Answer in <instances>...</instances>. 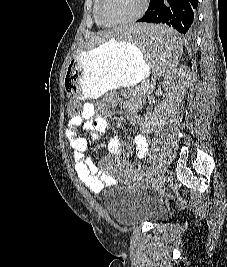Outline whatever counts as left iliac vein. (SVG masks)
I'll return each mask as SVG.
<instances>
[{
  "label": "left iliac vein",
  "instance_id": "1",
  "mask_svg": "<svg viewBox=\"0 0 227 267\" xmlns=\"http://www.w3.org/2000/svg\"><path fill=\"white\" fill-rule=\"evenodd\" d=\"M165 179H166V175L164 172L162 174L158 175V177L155 179L154 183L152 184L151 190L153 192L158 191L162 187V185L164 184Z\"/></svg>",
  "mask_w": 227,
  "mask_h": 267
}]
</instances>
